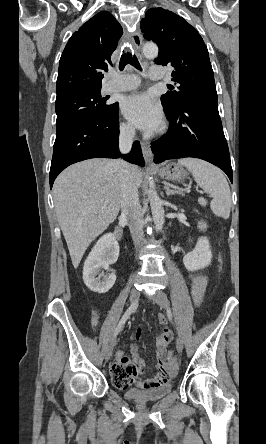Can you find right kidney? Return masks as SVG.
<instances>
[{"instance_id":"ca27d5eb","label":"right kidney","mask_w":266,"mask_h":444,"mask_svg":"<svg viewBox=\"0 0 266 444\" xmlns=\"http://www.w3.org/2000/svg\"><path fill=\"white\" fill-rule=\"evenodd\" d=\"M118 256L119 244L112 233L105 234L97 241L83 267V280L91 291L106 293L113 287L116 281L114 272L103 275L102 280L99 272L101 268L111 271L109 265L115 263Z\"/></svg>"}]
</instances>
